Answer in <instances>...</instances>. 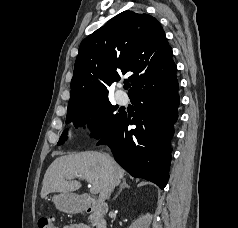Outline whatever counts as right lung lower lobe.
Returning <instances> with one entry per match:
<instances>
[{"mask_svg":"<svg viewBox=\"0 0 238 228\" xmlns=\"http://www.w3.org/2000/svg\"><path fill=\"white\" fill-rule=\"evenodd\" d=\"M178 81L176 74L166 81L147 86L130 100L136 106L130 121L122 114L99 144L111 147L115 160L133 177L143 178L163 189L169 179L170 140L178 118ZM129 124L136 129L128 130Z\"/></svg>","mask_w":238,"mask_h":228,"instance_id":"1","label":"right lung lower lobe"}]
</instances>
